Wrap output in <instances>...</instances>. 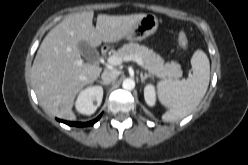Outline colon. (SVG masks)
Here are the masks:
<instances>
[{"label": "colon", "instance_id": "obj_1", "mask_svg": "<svg viewBox=\"0 0 248 165\" xmlns=\"http://www.w3.org/2000/svg\"><path fill=\"white\" fill-rule=\"evenodd\" d=\"M178 45L181 49H186L188 46V37L184 32H180L177 38Z\"/></svg>", "mask_w": 248, "mask_h": 165}]
</instances>
